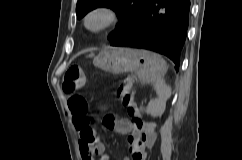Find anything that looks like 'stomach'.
Masks as SVG:
<instances>
[{
    "label": "stomach",
    "mask_w": 242,
    "mask_h": 160,
    "mask_svg": "<svg viewBox=\"0 0 242 160\" xmlns=\"http://www.w3.org/2000/svg\"><path fill=\"white\" fill-rule=\"evenodd\" d=\"M153 54L144 50L114 48L99 53L94 58L93 64L115 74L136 71L141 80L148 83L154 76L151 69Z\"/></svg>",
    "instance_id": "obj_1"
}]
</instances>
